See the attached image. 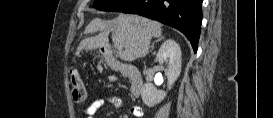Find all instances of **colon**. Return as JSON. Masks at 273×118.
<instances>
[{
  "instance_id": "colon-1",
  "label": "colon",
  "mask_w": 273,
  "mask_h": 118,
  "mask_svg": "<svg viewBox=\"0 0 273 118\" xmlns=\"http://www.w3.org/2000/svg\"><path fill=\"white\" fill-rule=\"evenodd\" d=\"M70 85L74 101L78 103L84 102L86 99L85 86L80 73L76 69L70 70Z\"/></svg>"
}]
</instances>
